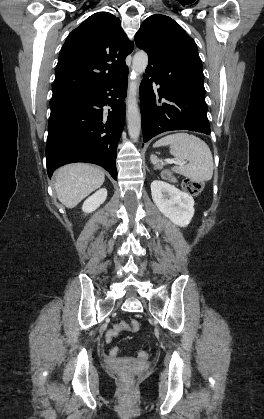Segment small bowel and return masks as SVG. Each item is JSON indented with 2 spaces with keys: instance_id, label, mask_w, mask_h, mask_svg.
Returning a JSON list of instances; mask_svg holds the SVG:
<instances>
[{
  "instance_id": "1",
  "label": "small bowel",
  "mask_w": 264,
  "mask_h": 419,
  "mask_svg": "<svg viewBox=\"0 0 264 419\" xmlns=\"http://www.w3.org/2000/svg\"><path fill=\"white\" fill-rule=\"evenodd\" d=\"M120 324L121 323H119V324H115L108 332H107V334H106V341L107 342H110V341H112V339L114 338V337H116L120 332H121V330H120ZM114 330H118V332L115 334V335H111V332L112 331H114ZM119 353H120V349L118 348V347H114L111 351H110V355L112 356V357H117L118 355H119Z\"/></svg>"
}]
</instances>
